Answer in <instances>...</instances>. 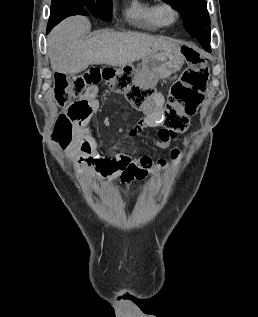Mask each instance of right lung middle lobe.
I'll use <instances>...</instances> for the list:
<instances>
[{
    "label": "right lung middle lobe",
    "mask_w": 258,
    "mask_h": 317,
    "mask_svg": "<svg viewBox=\"0 0 258 317\" xmlns=\"http://www.w3.org/2000/svg\"><path fill=\"white\" fill-rule=\"evenodd\" d=\"M60 0H52V3ZM85 4L91 5L96 11V17L111 21L112 18V0H81ZM95 16V15H94Z\"/></svg>",
    "instance_id": "obj_1"
}]
</instances>
